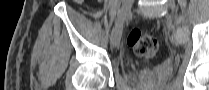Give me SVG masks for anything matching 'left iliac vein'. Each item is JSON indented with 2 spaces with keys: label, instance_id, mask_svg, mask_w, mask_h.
<instances>
[{
  "label": "left iliac vein",
  "instance_id": "4c4485c4",
  "mask_svg": "<svg viewBox=\"0 0 209 90\" xmlns=\"http://www.w3.org/2000/svg\"><path fill=\"white\" fill-rule=\"evenodd\" d=\"M168 7H169V9L171 11V16L173 18H176L177 17V12H176V9H175L174 1H172V0L168 1Z\"/></svg>",
  "mask_w": 209,
  "mask_h": 90
}]
</instances>
